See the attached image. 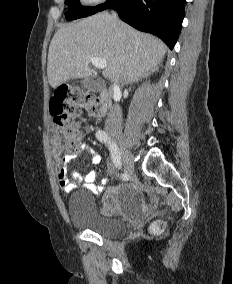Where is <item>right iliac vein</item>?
<instances>
[{"label": "right iliac vein", "mask_w": 233, "mask_h": 284, "mask_svg": "<svg viewBox=\"0 0 233 284\" xmlns=\"http://www.w3.org/2000/svg\"><path fill=\"white\" fill-rule=\"evenodd\" d=\"M113 138L115 139V141L118 143L121 153H122V160H123V164L125 166V169L127 172H129V176L133 177L134 173L132 172L134 170V162H133V158L130 154V152L126 149V147L124 146V143L122 141V137L119 134H113Z\"/></svg>", "instance_id": "1"}]
</instances>
